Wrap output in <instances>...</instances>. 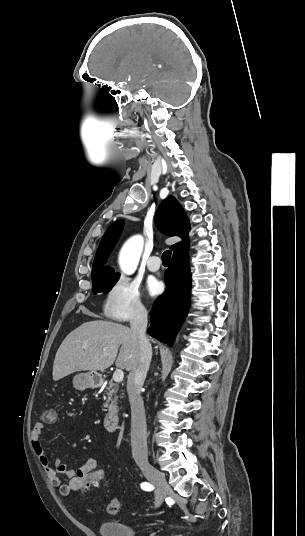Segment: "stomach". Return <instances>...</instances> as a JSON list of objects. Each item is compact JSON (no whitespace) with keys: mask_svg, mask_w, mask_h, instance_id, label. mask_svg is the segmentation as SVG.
<instances>
[{"mask_svg":"<svg viewBox=\"0 0 305 536\" xmlns=\"http://www.w3.org/2000/svg\"><path fill=\"white\" fill-rule=\"evenodd\" d=\"M100 384H103V378H100L98 374L94 372H87V374H77L73 378V386L75 390H86V388H98Z\"/></svg>","mask_w":305,"mask_h":536,"instance_id":"stomach-1","label":"stomach"}]
</instances>
